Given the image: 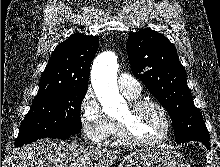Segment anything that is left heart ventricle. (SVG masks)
<instances>
[{
  "mask_svg": "<svg viewBox=\"0 0 220 167\" xmlns=\"http://www.w3.org/2000/svg\"><path fill=\"white\" fill-rule=\"evenodd\" d=\"M117 119L125 122L131 135L140 140L160 137L165 130V120L161 112L152 106H145L132 112L129 106L120 112Z\"/></svg>",
  "mask_w": 220,
  "mask_h": 167,
  "instance_id": "left-heart-ventricle-1",
  "label": "left heart ventricle"
}]
</instances>
